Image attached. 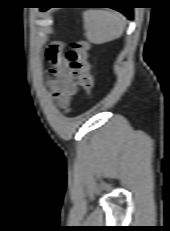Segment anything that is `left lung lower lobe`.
<instances>
[{"mask_svg":"<svg viewBox=\"0 0 170 231\" xmlns=\"http://www.w3.org/2000/svg\"><path fill=\"white\" fill-rule=\"evenodd\" d=\"M116 6L120 7H112L113 9H116L120 12H122L124 15L127 16L128 19H133V12L132 7H121V4H114ZM47 8H43V10H46Z\"/></svg>","mask_w":170,"mask_h":231,"instance_id":"0a47b994","label":"left lung lower lobe"}]
</instances>
